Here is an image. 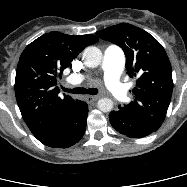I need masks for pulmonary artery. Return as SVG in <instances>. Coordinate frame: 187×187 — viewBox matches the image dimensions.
Listing matches in <instances>:
<instances>
[{"label":"pulmonary artery","instance_id":"obj_1","mask_svg":"<svg viewBox=\"0 0 187 187\" xmlns=\"http://www.w3.org/2000/svg\"><path fill=\"white\" fill-rule=\"evenodd\" d=\"M125 64V56L121 48L115 45L107 47L104 52L101 69L104 74V82L111 93L119 100L127 98V92L120 81V75ZM82 74L71 75L67 81L70 84L77 85L84 81Z\"/></svg>","mask_w":187,"mask_h":187}]
</instances>
